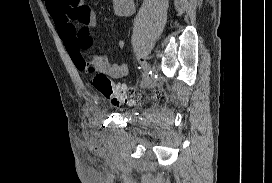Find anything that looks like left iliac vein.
I'll return each mask as SVG.
<instances>
[{
    "instance_id": "left-iliac-vein-1",
    "label": "left iliac vein",
    "mask_w": 272,
    "mask_h": 183,
    "mask_svg": "<svg viewBox=\"0 0 272 183\" xmlns=\"http://www.w3.org/2000/svg\"><path fill=\"white\" fill-rule=\"evenodd\" d=\"M152 75L150 77H146L144 80V87H152L153 84L155 83V78H154V74H155V66H152Z\"/></svg>"
}]
</instances>
